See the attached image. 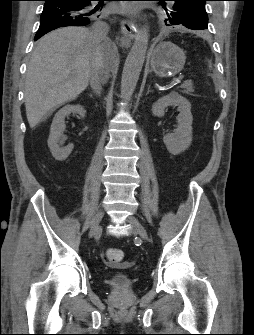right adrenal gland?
Returning <instances> with one entry per match:
<instances>
[{"mask_svg": "<svg viewBox=\"0 0 254 335\" xmlns=\"http://www.w3.org/2000/svg\"><path fill=\"white\" fill-rule=\"evenodd\" d=\"M89 96H90V97H92L93 95H92V94H90Z\"/></svg>", "mask_w": 254, "mask_h": 335, "instance_id": "right-adrenal-gland-1", "label": "right adrenal gland"}]
</instances>
